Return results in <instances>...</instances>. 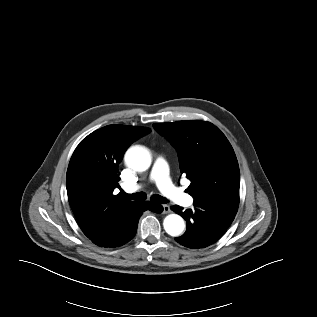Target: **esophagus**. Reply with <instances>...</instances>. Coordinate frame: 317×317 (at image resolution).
Instances as JSON below:
<instances>
[{
    "label": "esophagus",
    "instance_id": "obj_1",
    "mask_svg": "<svg viewBox=\"0 0 317 317\" xmlns=\"http://www.w3.org/2000/svg\"><path fill=\"white\" fill-rule=\"evenodd\" d=\"M170 212V207L168 205H163V213L167 214Z\"/></svg>",
    "mask_w": 317,
    "mask_h": 317
}]
</instances>
